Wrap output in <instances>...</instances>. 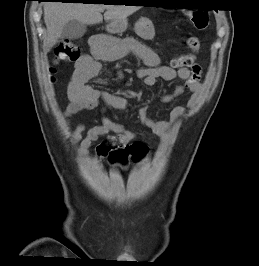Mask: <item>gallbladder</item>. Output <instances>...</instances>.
Masks as SVG:
<instances>
[{"mask_svg": "<svg viewBox=\"0 0 259 266\" xmlns=\"http://www.w3.org/2000/svg\"><path fill=\"white\" fill-rule=\"evenodd\" d=\"M86 29L87 27L85 24L77 20H71L64 25L61 37L68 39H78L85 34Z\"/></svg>", "mask_w": 259, "mask_h": 266, "instance_id": "gallbladder-1", "label": "gallbladder"}]
</instances>
